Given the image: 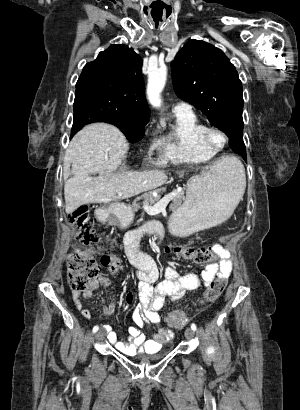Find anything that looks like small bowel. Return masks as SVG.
<instances>
[{
  "label": "small bowel",
  "instance_id": "c3829d8e",
  "mask_svg": "<svg viewBox=\"0 0 300 410\" xmlns=\"http://www.w3.org/2000/svg\"><path fill=\"white\" fill-rule=\"evenodd\" d=\"M140 236L137 233L130 234L126 238L128 256L131 263L136 268L138 279V299L139 302L133 310L132 319L134 326L128 328L129 341H120L116 332L110 325H103L108 341L114 347L126 355H135L139 352L151 353L156 351L164 342L173 338V332L162 325L159 311L163 308L166 298L179 299L186 292L194 291L201 287H207L215 279L228 280L233 271V262L229 251L219 247L218 261L205 266L200 274L178 273L168 267L164 273V279L158 282L159 270L155 262L138 247ZM79 253H86L77 249ZM110 288V280L105 276H100L91 281L82 293L86 299L91 298L100 288ZM79 292L72 293V298L76 308L85 319H90V310L83 307ZM133 302L132 295H127L125 299V309ZM115 311V303L111 300L104 306L105 314H112ZM156 325V333L153 338H147L143 328L147 325Z\"/></svg>",
  "mask_w": 300,
  "mask_h": 410
}]
</instances>
